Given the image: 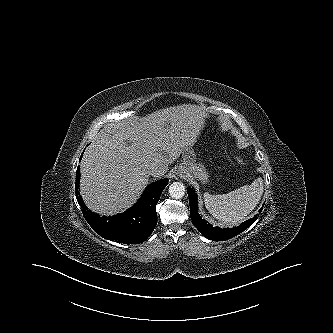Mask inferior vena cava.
<instances>
[{
    "mask_svg": "<svg viewBox=\"0 0 333 333\" xmlns=\"http://www.w3.org/2000/svg\"><path fill=\"white\" fill-rule=\"evenodd\" d=\"M149 175L158 177L162 175V171L158 167H151L148 171Z\"/></svg>",
    "mask_w": 333,
    "mask_h": 333,
    "instance_id": "602c4592",
    "label": "inferior vena cava"
}]
</instances>
